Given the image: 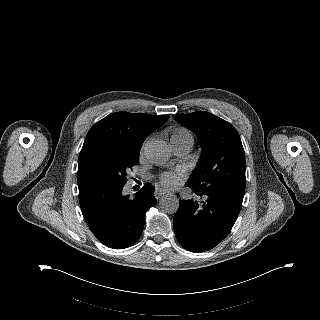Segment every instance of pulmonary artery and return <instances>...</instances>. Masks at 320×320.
I'll list each match as a JSON object with an SVG mask.
<instances>
[{
  "instance_id": "1",
  "label": "pulmonary artery",
  "mask_w": 320,
  "mask_h": 320,
  "mask_svg": "<svg viewBox=\"0 0 320 320\" xmlns=\"http://www.w3.org/2000/svg\"><path fill=\"white\" fill-rule=\"evenodd\" d=\"M172 149L177 156H185L191 149L188 141H170Z\"/></svg>"
}]
</instances>
